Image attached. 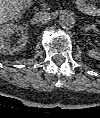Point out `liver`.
Wrapping results in <instances>:
<instances>
[{"label": "liver", "mask_w": 100, "mask_h": 118, "mask_svg": "<svg viewBox=\"0 0 100 118\" xmlns=\"http://www.w3.org/2000/svg\"><path fill=\"white\" fill-rule=\"evenodd\" d=\"M23 7L19 0H0L1 23L17 20Z\"/></svg>", "instance_id": "obj_1"}]
</instances>
